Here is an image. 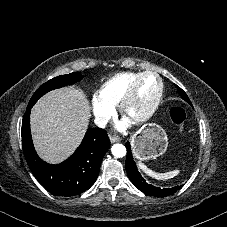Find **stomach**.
<instances>
[{
  "instance_id": "stomach-1",
  "label": "stomach",
  "mask_w": 227,
  "mask_h": 227,
  "mask_svg": "<svg viewBox=\"0 0 227 227\" xmlns=\"http://www.w3.org/2000/svg\"><path fill=\"white\" fill-rule=\"evenodd\" d=\"M131 145L134 156L141 161H147L165 153L168 139L161 126L149 123L132 136Z\"/></svg>"
}]
</instances>
